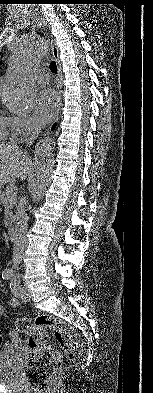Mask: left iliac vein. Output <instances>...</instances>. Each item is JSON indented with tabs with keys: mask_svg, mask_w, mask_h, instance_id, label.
Instances as JSON below:
<instances>
[{
	"mask_svg": "<svg viewBox=\"0 0 153 393\" xmlns=\"http://www.w3.org/2000/svg\"><path fill=\"white\" fill-rule=\"evenodd\" d=\"M16 296L22 299L27 298L29 296V290L27 286L26 285L18 286Z\"/></svg>",
	"mask_w": 153,
	"mask_h": 393,
	"instance_id": "1",
	"label": "left iliac vein"
}]
</instances>
